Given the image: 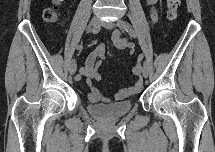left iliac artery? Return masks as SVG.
<instances>
[{
  "instance_id": "left-iliac-artery-1",
  "label": "left iliac artery",
  "mask_w": 215,
  "mask_h": 152,
  "mask_svg": "<svg viewBox=\"0 0 215 152\" xmlns=\"http://www.w3.org/2000/svg\"><path fill=\"white\" fill-rule=\"evenodd\" d=\"M117 25L118 27H120L121 29L125 30L130 36L136 38L137 37V34L136 32L130 27V25L123 21V20H118L117 21ZM138 63L136 64L137 68H138V72H143V66L141 65V63L143 62V54H139L138 55Z\"/></svg>"
}]
</instances>
